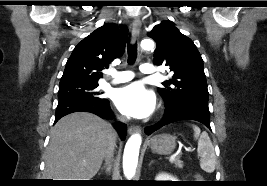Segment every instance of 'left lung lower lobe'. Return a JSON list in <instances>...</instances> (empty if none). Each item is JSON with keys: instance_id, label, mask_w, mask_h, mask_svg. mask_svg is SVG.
Here are the masks:
<instances>
[{"instance_id": "obj_1", "label": "left lung lower lobe", "mask_w": 267, "mask_h": 186, "mask_svg": "<svg viewBox=\"0 0 267 186\" xmlns=\"http://www.w3.org/2000/svg\"><path fill=\"white\" fill-rule=\"evenodd\" d=\"M181 120H195L211 129L210 112L208 106L196 103H188L166 109L162 120L153 126L145 128V133L150 135L167 124Z\"/></svg>"}]
</instances>
